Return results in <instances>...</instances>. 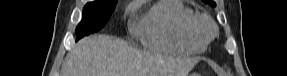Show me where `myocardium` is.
<instances>
[{"label": "myocardium", "mask_w": 287, "mask_h": 76, "mask_svg": "<svg viewBox=\"0 0 287 76\" xmlns=\"http://www.w3.org/2000/svg\"><path fill=\"white\" fill-rule=\"evenodd\" d=\"M193 32L202 41L209 42L216 34V26L207 15H196L193 20Z\"/></svg>", "instance_id": "1"}]
</instances>
